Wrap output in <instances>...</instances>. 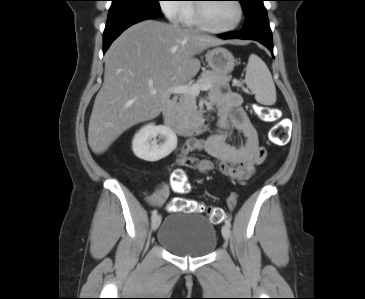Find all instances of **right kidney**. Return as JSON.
<instances>
[{"label": "right kidney", "instance_id": "obj_1", "mask_svg": "<svg viewBox=\"0 0 365 299\" xmlns=\"http://www.w3.org/2000/svg\"><path fill=\"white\" fill-rule=\"evenodd\" d=\"M159 137V140L156 137ZM161 140V142H159ZM159 142V143H158ZM177 146V136L167 126L148 124L134 136L132 150L138 158L155 162L167 157Z\"/></svg>", "mask_w": 365, "mask_h": 299}]
</instances>
